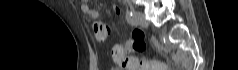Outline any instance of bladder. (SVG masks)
Returning <instances> with one entry per match:
<instances>
[{
  "label": "bladder",
  "instance_id": "31cf9c89",
  "mask_svg": "<svg viewBox=\"0 0 238 70\" xmlns=\"http://www.w3.org/2000/svg\"><path fill=\"white\" fill-rule=\"evenodd\" d=\"M112 70H122V69H119V68H113Z\"/></svg>",
  "mask_w": 238,
  "mask_h": 70
}]
</instances>
